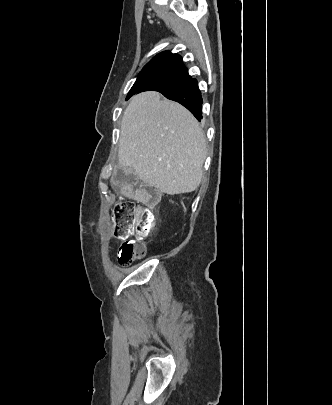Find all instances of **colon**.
<instances>
[{"mask_svg": "<svg viewBox=\"0 0 332 405\" xmlns=\"http://www.w3.org/2000/svg\"><path fill=\"white\" fill-rule=\"evenodd\" d=\"M159 201V193L151 186L144 185L138 193V201H121L112 210L115 235L125 239L118 249V261L129 265L146 255V246L141 238L156 227L157 218L152 206ZM129 236L137 239L128 240Z\"/></svg>", "mask_w": 332, "mask_h": 405, "instance_id": "obj_1", "label": "colon"}]
</instances>
